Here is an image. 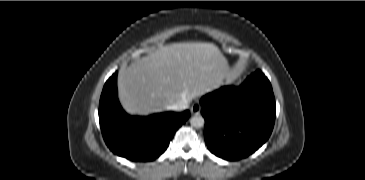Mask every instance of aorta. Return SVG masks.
I'll use <instances>...</instances> for the list:
<instances>
[{
  "label": "aorta",
  "mask_w": 365,
  "mask_h": 180,
  "mask_svg": "<svg viewBox=\"0 0 365 180\" xmlns=\"http://www.w3.org/2000/svg\"><path fill=\"white\" fill-rule=\"evenodd\" d=\"M205 120L201 115H195L190 119L191 126L201 128L204 126Z\"/></svg>",
  "instance_id": "aorta-1"
}]
</instances>
